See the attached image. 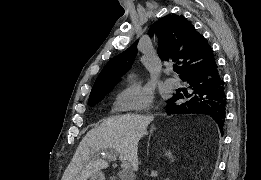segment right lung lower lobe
Returning <instances> with one entry per match:
<instances>
[{
	"label": "right lung lower lobe",
	"mask_w": 261,
	"mask_h": 180,
	"mask_svg": "<svg viewBox=\"0 0 261 180\" xmlns=\"http://www.w3.org/2000/svg\"><path fill=\"white\" fill-rule=\"evenodd\" d=\"M192 89L191 93L176 94L168 100V114L202 113L211 116L222 133L226 116L224 82L215 60L191 70L184 77Z\"/></svg>",
	"instance_id": "right-lung-lower-lobe-1"
}]
</instances>
